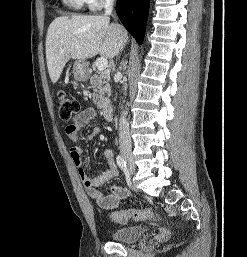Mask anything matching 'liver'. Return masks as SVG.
I'll return each mask as SVG.
<instances>
[{"label": "liver", "mask_w": 247, "mask_h": 257, "mask_svg": "<svg viewBox=\"0 0 247 257\" xmlns=\"http://www.w3.org/2000/svg\"><path fill=\"white\" fill-rule=\"evenodd\" d=\"M126 31L102 15L60 16L50 24L46 36V60L50 79L56 83L70 59L86 60L100 54L117 56L127 42Z\"/></svg>", "instance_id": "liver-1"}]
</instances>
